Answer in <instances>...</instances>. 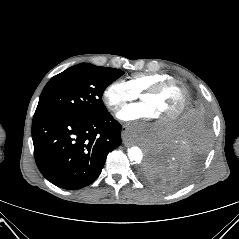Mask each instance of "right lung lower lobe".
Returning <instances> with one entry per match:
<instances>
[{
	"label": "right lung lower lobe",
	"mask_w": 239,
	"mask_h": 239,
	"mask_svg": "<svg viewBox=\"0 0 239 239\" xmlns=\"http://www.w3.org/2000/svg\"><path fill=\"white\" fill-rule=\"evenodd\" d=\"M121 130L108 111L93 117L36 115L32 122L36 164L54 185L83 188L100 175L108 153L121 144Z\"/></svg>",
	"instance_id": "1"
}]
</instances>
